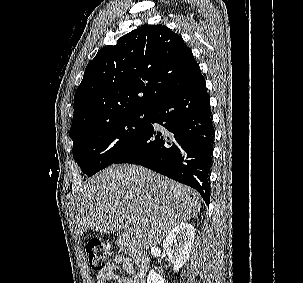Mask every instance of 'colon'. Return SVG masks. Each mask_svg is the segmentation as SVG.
I'll return each mask as SVG.
<instances>
[{"instance_id":"5ec220e1","label":"colon","mask_w":303,"mask_h":283,"mask_svg":"<svg viewBox=\"0 0 303 283\" xmlns=\"http://www.w3.org/2000/svg\"><path fill=\"white\" fill-rule=\"evenodd\" d=\"M90 267L95 271H102L106 263L114 258L111 243L98 238H92L85 244Z\"/></svg>"}]
</instances>
